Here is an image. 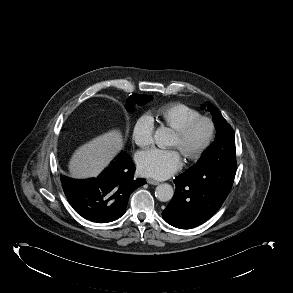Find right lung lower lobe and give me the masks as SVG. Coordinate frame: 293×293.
<instances>
[{
	"label": "right lung lower lobe",
	"instance_id": "obj_1",
	"mask_svg": "<svg viewBox=\"0 0 293 293\" xmlns=\"http://www.w3.org/2000/svg\"><path fill=\"white\" fill-rule=\"evenodd\" d=\"M135 166L126 152H121L97 178L84 181L61 177L68 202L85 219L106 223L126 211L130 194L145 179L134 178Z\"/></svg>",
	"mask_w": 293,
	"mask_h": 293
}]
</instances>
